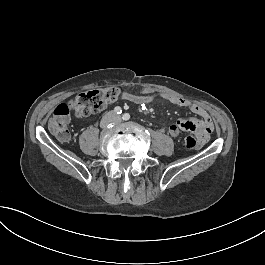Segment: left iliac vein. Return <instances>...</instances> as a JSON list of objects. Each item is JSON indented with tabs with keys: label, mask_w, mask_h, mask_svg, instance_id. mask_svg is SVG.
Masks as SVG:
<instances>
[{
	"label": "left iliac vein",
	"mask_w": 265,
	"mask_h": 265,
	"mask_svg": "<svg viewBox=\"0 0 265 265\" xmlns=\"http://www.w3.org/2000/svg\"><path fill=\"white\" fill-rule=\"evenodd\" d=\"M120 120H121V117H120V116H115V117H114V121H115V122H118V121H120Z\"/></svg>",
	"instance_id": "obj_1"
}]
</instances>
